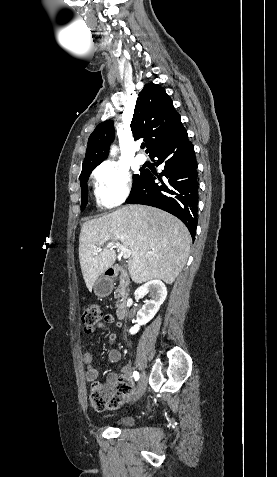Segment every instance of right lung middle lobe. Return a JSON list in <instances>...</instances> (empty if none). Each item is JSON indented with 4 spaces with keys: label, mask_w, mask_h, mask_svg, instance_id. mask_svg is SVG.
Wrapping results in <instances>:
<instances>
[{
    "label": "right lung middle lobe",
    "mask_w": 277,
    "mask_h": 477,
    "mask_svg": "<svg viewBox=\"0 0 277 477\" xmlns=\"http://www.w3.org/2000/svg\"><path fill=\"white\" fill-rule=\"evenodd\" d=\"M95 167H91V168H87V169H84L82 170L81 174H80V183H81V198H82V203H81V210H83L87 204V180L89 178V175L91 173V171L94 169ZM140 174L139 175H134L133 176V186H132V189H134L138 183L142 180L143 176H144V173H145V170H140Z\"/></svg>",
    "instance_id": "right-lung-middle-lobe-1"
}]
</instances>
